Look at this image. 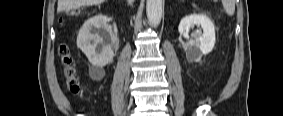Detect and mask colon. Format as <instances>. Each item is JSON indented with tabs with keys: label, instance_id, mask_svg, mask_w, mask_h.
Returning <instances> with one entry per match:
<instances>
[{
	"label": "colon",
	"instance_id": "obj_1",
	"mask_svg": "<svg viewBox=\"0 0 283 116\" xmlns=\"http://www.w3.org/2000/svg\"><path fill=\"white\" fill-rule=\"evenodd\" d=\"M72 13V12H71ZM60 62L63 66V72L66 79L68 90L72 94H77L80 91L79 83L76 78V70L73 65L70 52L67 46H61L58 50Z\"/></svg>",
	"mask_w": 283,
	"mask_h": 116
}]
</instances>
